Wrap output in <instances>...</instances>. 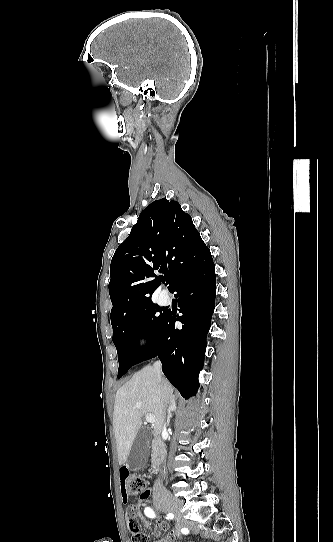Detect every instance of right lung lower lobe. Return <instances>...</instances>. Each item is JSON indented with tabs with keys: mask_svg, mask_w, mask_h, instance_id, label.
<instances>
[{
	"mask_svg": "<svg viewBox=\"0 0 333 542\" xmlns=\"http://www.w3.org/2000/svg\"><path fill=\"white\" fill-rule=\"evenodd\" d=\"M176 263V278L169 288L177 292L182 315L166 312L152 347L137 363L158 356L165 376L189 398L196 395L204 363L215 305V265L202 239L178 250ZM175 321L183 324L181 329H175Z\"/></svg>",
	"mask_w": 333,
	"mask_h": 542,
	"instance_id": "98d812e1",
	"label": "right lung lower lobe"
}]
</instances>
